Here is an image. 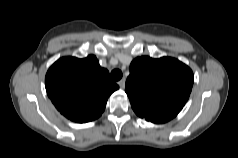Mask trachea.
Returning <instances> with one entry per match:
<instances>
[{"label": "trachea", "mask_w": 238, "mask_h": 158, "mask_svg": "<svg viewBox=\"0 0 238 158\" xmlns=\"http://www.w3.org/2000/svg\"><path fill=\"white\" fill-rule=\"evenodd\" d=\"M111 77L113 80L115 81H118L122 78V72L121 70L119 69H114L112 72H111Z\"/></svg>", "instance_id": "obj_1"}]
</instances>
